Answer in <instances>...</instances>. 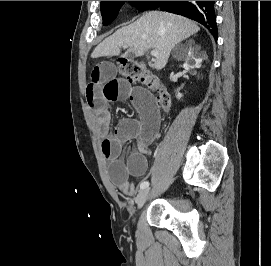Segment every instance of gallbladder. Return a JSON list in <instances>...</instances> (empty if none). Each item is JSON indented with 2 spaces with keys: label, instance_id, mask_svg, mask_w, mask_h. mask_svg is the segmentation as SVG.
Wrapping results in <instances>:
<instances>
[{
  "label": "gallbladder",
  "instance_id": "1",
  "mask_svg": "<svg viewBox=\"0 0 271 266\" xmlns=\"http://www.w3.org/2000/svg\"><path fill=\"white\" fill-rule=\"evenodd\" d=\"M128 57H133V54H132V53H129V54H128Z\"/></svg>",
  "mask_w": 271,
  "mask_h": 266
}]
</instances>
